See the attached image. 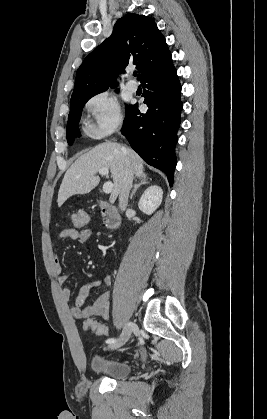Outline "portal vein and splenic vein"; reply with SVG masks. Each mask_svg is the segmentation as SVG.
I'll use <instances>...</instances> for the list:
<instances>
[{"mask_svg":"<svg viewBox=\"0 0 267 419\" xmlns=\"http://www.w3.org/2000/svg\"><path fill=\"white\" fill-rule=\"evenodd\" d=\"M99 174L104 175V176H107L109 174L108 168H101L99 170ZM112 189H113V183L111 181H107V182L104 183V185H103V192L105 194L111 193L112 192Z\"/></svg>","mask_w":267,"mask_h":419,"instance_id":"portal-vein-and-splenic-vein-1","label":"portal vein and splenic vein"}]
</instances>
